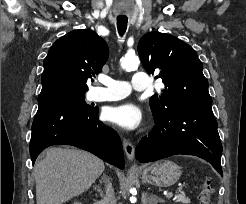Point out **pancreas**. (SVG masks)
<instances>
[{
	"instance_id": "pancreas-1",
	"label": "pancreas",
	"mask_w": 246,
	"mask_h": 204,
	"mask_svg": "<svg viewBox=\"0 0 246 204\" xmlns=\"http://www.w3.org/2000/svg\"><path fill=\"white\" fill-rule=\"evenodd\" d=\"M177 203L188 204L190 203V199L185 196V194H179L175 200Z\"/></svg>"
}]
</instances>
